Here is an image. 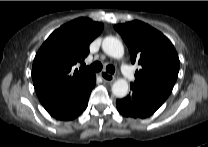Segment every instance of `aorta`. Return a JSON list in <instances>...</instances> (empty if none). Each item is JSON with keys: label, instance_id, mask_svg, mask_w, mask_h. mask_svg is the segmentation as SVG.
Listing matches in <instances>:
<instances>
[{"label": "aorta", "instance_id": "obj_1", "mask_svg": "<svg viewBox=\"0 0 208 147\" xmlns=\"http://www.w3.org/2000/svg\"><path fill=\"white\" fill-rule=\"evenodd\" d=\"M102 50L105 54L115 59H121L124 55V47L122 42L113 36H108L103 39ZM128 88V82L121 78L113 83L112 93L118 98H123L127 95Z\"/></svg>", "mask_w": 208, "mask_h": 147}]
</instances>
